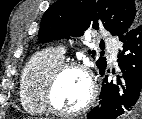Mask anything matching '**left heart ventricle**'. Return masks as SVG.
I'll return each mask as SVG.
<instances>
[{"label":"left heart ventricle","instance_id":"1","mask_svg":"<svg viewBox=\"0 0 142 119\" xmlns=\"http://www.w3.org/2000/svg\"><path fill=\"white\" fill-rule=\"evenodd\" d=\"M89 96L87 77L78 70L66 72L55 90V102L63 110L72 111L81 107Z\"/></svg>","mask_w":142,"mask_h":119}]
</instances>
